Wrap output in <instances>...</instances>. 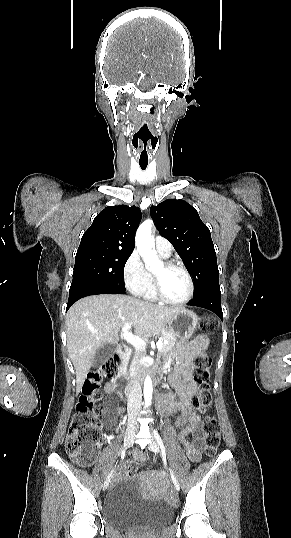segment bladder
I'll use <instances>...</instances> for the list:
<instances>
[{"label":"bladder","mask_w":291,"mask_h":538,"mask_svg":"<svg viewBox=\"0 0 291 538\" xmlns=\"http://www.w3.org/2000/svg\"><path fill=\"white\" fill-rule=\"evenodd\" d=\"M172 514V509L162 501L143 498L137 483L129 478L115 483L103 503L106 522L122 529L138 524H161L168 521Z\"/></svg>","instance_id":"obj_1"}]
</instances>
